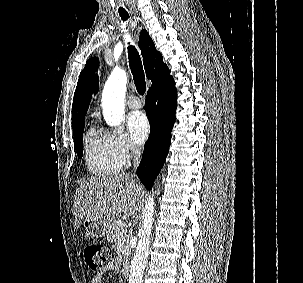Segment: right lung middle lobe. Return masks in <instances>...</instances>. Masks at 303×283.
<instances>
[{"mask_svg": "<svg viewBox=\"0 0 303 283\" xmlns=\"http://www.w3.org/2000/svg\"><path fill=\"white\" fill-rule=\"evenodd\" d=\"M83 131L84 122L73 127L74 145L79 158H81L83 155Z\"/></svg>", "mask_w": 303, "mask_h": 283, "instance_id": "dd1d6c3e", "label": "right lung middle lobe"}]
</instances>
